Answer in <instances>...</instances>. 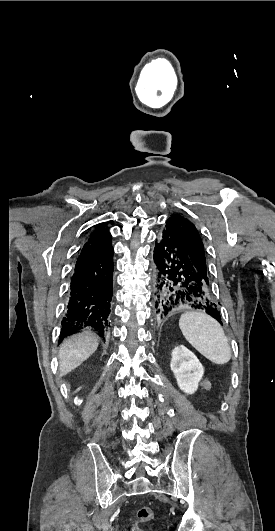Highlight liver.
Returning a JSON list of instances; mask_svg holds the SVG:
<instances>
[{
  "label": "liver",
  "instance_id": "liver-1",
  "mask_svg": "<svg viewBox=\"0 0 275 531\" xmlns=\"http://www.w3.org/2000/svg\"><path fill=\"white\" fill-rule=\"evenodd\" d=\"M98 339L99 337L91 333V331H84V333L68 337L62 343L59 351L60 377L67 375V373L82 365L86 359H89L99 345Z\"/></svg>",
  "mask_w": 275,
  "mask_h": 531
}]
</instances>
